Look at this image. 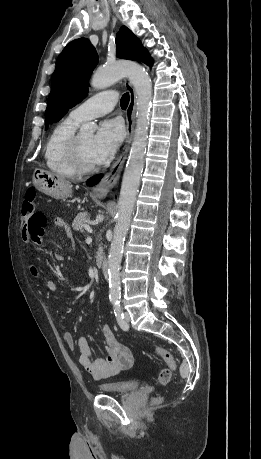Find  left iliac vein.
I'll return each mask as SVG.
<instances>
[{"mask_svg":"<svg viewBox=\"0 0 261 459\" xmlns=\"http://www.w3.org/2000/svg\"><path fill=\"white\" fill-rule=\"evenodd\" d=\"M125 321L127 322V324L130 322V315L128 312H125Z\"/></svg>","mask_w":261,"mask_h":459,"instance_id":"4c4485c4","label":"left iliac vein"}]
</instances>
